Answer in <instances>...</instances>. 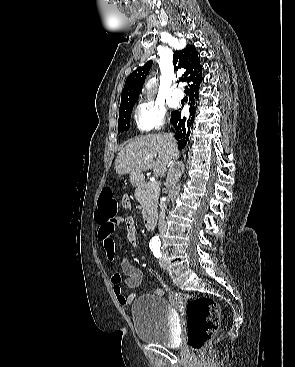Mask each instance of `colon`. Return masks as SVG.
<instances>
[{"mask_svg":"<svg viewBox=\"0 0 295 367\" xmlns=\"http://www.w3.org/2000/svg\"><path fill=\"white\" fill-rule=\"evenodd\" d=\"M117 202L113 197L112 190L108 187L101 191L97 222H109L116 218ZM153 276L161 284L164 290L175 297L187 299V341L194 351H201L210 339H212L219 328L220 307L211 297L205 295H182L172 292L164 279L155 271Z\"/></svg>","mask_w":295,"mask_h":367,"instance_id":"obj_1","label":"colon"}]
</instances>
